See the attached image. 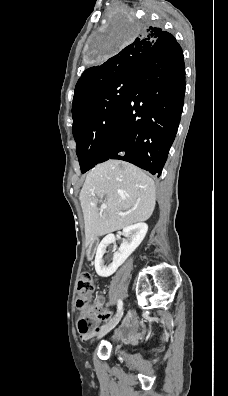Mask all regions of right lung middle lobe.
I'll use <instances>...</instances> for the list:
<instances>
[{"instance_id": "1", "label": "right lung middle lobe", "mask_w": 228, "mask_h": 396, "mask_svg": "<svg viewBox=\"0 0 228 396\" xmlns=\"http://www.w3.org/2000/svg\"><path fill=\"white\" fill-rule=\"evenodd\" d=\"M119 24H126L131 36L144 27V22L133 16L122 17ZM128 40L129 38L115 32L105 35L97 44L95 57H107ZM132 80L133 75H128L109 82L73 118V136L82 173L98 164L105 154L115 119L131 88Z\"/></svg>"}]
</instances>
